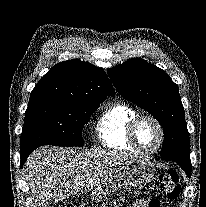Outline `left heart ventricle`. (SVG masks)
<instances>
[{
	"instance_id": "1",
	"label": "left heart ventricle",
	"mask_w": 206,
	"mask_h": 207,
	"mask_svg": "<svg viewBox=\"0 0 206 207\" xmlns=\"http://www.w3.org/2000/svg\"><path fill=\"white\" fill-rule=\"evenodd\" d=\"M136 135L140 146L146 150L155 148L160 140V133L157 126L147 119L140 122Z\"/></svg>"
}]
</instances>
